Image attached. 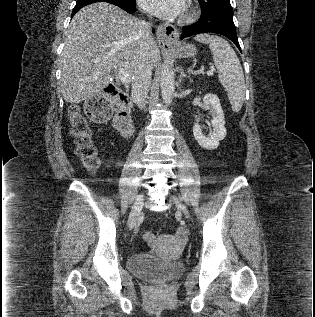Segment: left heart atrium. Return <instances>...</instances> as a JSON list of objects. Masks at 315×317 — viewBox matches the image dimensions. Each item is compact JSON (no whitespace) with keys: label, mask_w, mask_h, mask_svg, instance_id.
<instances>
[{"label":"left heart atrium","mask_w":315,"mask_h":317,"mask_svg":"<svg viewBox=\"0 0 315 317\" xmlns=\"http://www.w3.org/2000/svg\"><path fill=\"white\" fill-rule=\"evenodd\" d=\"M140 6L162 18L177 16L184 8V0H138Z\"/></svg>","instance_id":"39dd6f15"}]
</instances>
